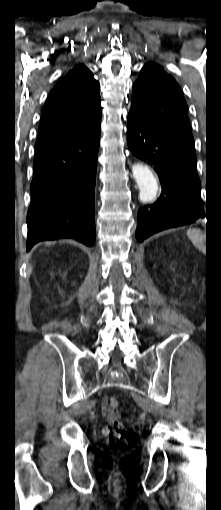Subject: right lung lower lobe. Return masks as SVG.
Segmentation results:
<instances>
[{"instance_id": "1", "label": "right lung lower lobe", "mask_w": 221, "mask_h": 510, "mask_svg": "<svg viewBox=\"0 0 221 510\" xmlns=\"http://www.w3.org/2000/svg\"><path fill=\"white\" fill-rule=\"evenodd\" d=\"M100 120L63 140L35 147L26 248L45 240L95 242L94 190Z\"/></svg>"}]
</instances>
